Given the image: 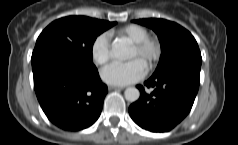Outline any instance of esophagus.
Listing matches in <instances>:
<instances>
[{
    "label": "esophagus",
    "instance_id": "obj_1",
    "mask_svg": "<svg viewBox=\"0 0 238 145\" xmlns=\"http://www.w3.org/2000/svg\"><path fill=\"white\" fill-rule=\"evenodd\" d=\"M125 87L109 86V90H123Z\"/></svg>",
    "mask_w": 238,
    "mask_h": 145
}]
</instances>
